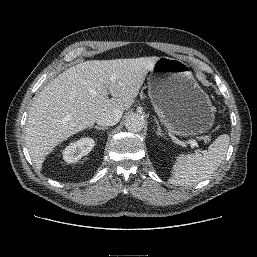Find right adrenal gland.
Returning <instances> with one entry per match:
<instances>
[{
	"label": "right adrenal gland",
	"instance_id": "obj_1",
	"mask_svg": "<svg viewBox=\"0 0 257 257\" xmlns=\"http://www.w3.org/2000/svg\"><path fill=\"white\" fill-rule=\"evenodd\" d=\"M91 128H94V129H96V130H98V131H100V130H105V129H108V127H102V126H91Z\"/></svg>",
	"mask_w": 257,
	"mask_h": 257
}]
</instances>
